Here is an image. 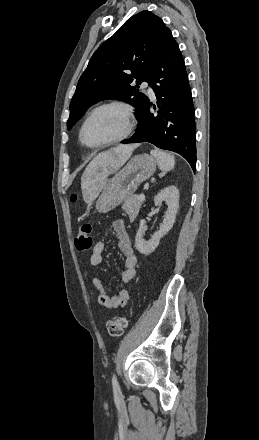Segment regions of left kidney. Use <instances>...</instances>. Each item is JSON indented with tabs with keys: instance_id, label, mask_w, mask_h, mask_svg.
<instances>
[{
	"instance_id": "1",
	"label": "left kidney",
	"mask_w": 259,
	"mask_h": 440,
	"mask_svg": "<svg viewBox=\"0 0 259 440\" xmlns=\"http://www.w3.org/2000/svg\"><path fill=\"white\" fill-rule=\"evenodd\" d=\"M165 201L168 209L165 212L163 223L158 232H155L151 239L146 241L143 239L144 226L146 221L140 220L139 229L135 237L136 249L144 255L152 253L159 245L160 239L166 235L174 225L176 214L179 208V191L176 186H168L162 189L154 198V205L160 206Z\"/></svg>"
}]
</instances>
